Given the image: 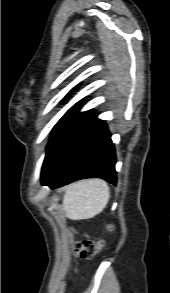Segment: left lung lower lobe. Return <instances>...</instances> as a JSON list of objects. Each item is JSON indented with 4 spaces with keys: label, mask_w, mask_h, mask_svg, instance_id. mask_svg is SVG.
Here are the masks:
<instances>
[{
    "label": "left lung lower lobe",
    "mask_w": 170,
    "mask_h": 293,
    "mask_svg": "<svg viewBox=\"0 0 170 293\" xmlns=\"http://www.w3.org/2000/svg\"><path fill=\"white\" fill-rule=\"evenodd\" d=\"M115 163L111 135L105 122L94 115L41 175L42 185L55 188L84 178L116 184Z\"/></svg>",
    "instance_id": "obj_1"
}]
</instances>
